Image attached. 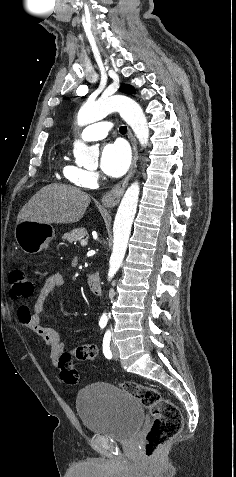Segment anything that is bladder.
Here are the masks:
<instances>
[{
  "label": "bladder",
  "instance_id": "obj_1",
  "mask_svg": "<svg viewBox=\"0 0 236 477\" xmlns=\"http://www.w3.org/2000/svg\"><path fill=\"white\" fill-rule=\"evenodd\" d=\"M76 407L85 429L115 440H130L139 430L143 405L121 387L97 382L84 388Z\"/></svg>",
  "mask_w": 236,
  "mask_h": 477
}]
</instances>
